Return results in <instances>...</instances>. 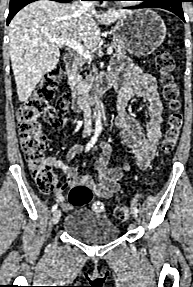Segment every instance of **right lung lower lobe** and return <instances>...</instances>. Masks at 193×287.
<instances>
[{
    "mask_svg": "<svg viewBox=\"0 0 193 287\" xmlns=\"http://www.w3.org/2000/svg\"><path fill=\"white\" fill-rule=\"evenodd\" d=\"M36 0H10V5H9V15L7 18V24L11 21V19L14 17V15L24 6L27 4L34 2ZM61 3H67L72 0H53Z\"/></svg>",
    "mask_w": 193,
    "mask_h": 287,
    "instance_id": "right-lung-lower-lobe-1",
    "label": "right lung lower lobe"
}]
</instances>
